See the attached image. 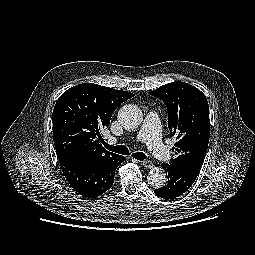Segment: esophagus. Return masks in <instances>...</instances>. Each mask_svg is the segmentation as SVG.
<instances>
[{
    "label": "esophagus",
    "mask_w": 255,
    "mask_h": 255,
    "mask_svg": "<svg viewBox=\"0 0 255 255\" xmlns=\"http://www.w3.org/2000/svg\"><path fill=\"white\" fill-rule=\"evenodd\" d=\"M141 165L144 166L145 168H152L153 167V162L150 160H144L141 162Z\"/></svg>",
    "instance_id": "34e87169"
}]
</instances>
